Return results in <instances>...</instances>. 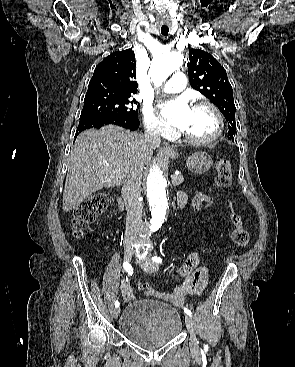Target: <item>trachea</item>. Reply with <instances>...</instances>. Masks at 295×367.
<instances>
[{
	"instance_id": "3493384b",
	"label": "trachea",
	"mask_w": 295,
	"mask_h": 367,
	"mask_svg": "<svg viewBox=\"0 0 295 367\" xmlns=\"http://www.w3.org/2000/svg\"><path fill=\"white\" fill-rule=\"evenodd\" d=\"M169 32V28L167 26H162L161 27V34L162 35H167Z\"/></svg>"
}]
</instances>
